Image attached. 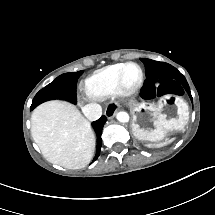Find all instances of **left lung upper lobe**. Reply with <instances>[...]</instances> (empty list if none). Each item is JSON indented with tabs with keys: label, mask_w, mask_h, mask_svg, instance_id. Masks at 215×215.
Segmentation results:
<instances>
[{
	"label": "left lung upper lobe",
	"mask_w": 215,
	"mask_h": 215,
	"mask_svg": "<svg viewBox=\"0 0 215 215\" xmlns=\"http://www.w3.org/2000/svg\"><path fill=\"white\" fill-rule=\"evenodd\" d=\"M141 61L144 63L146 67V78H147L145 81L146 83H150L153 80L160 77H166V78L177 80L182 84L183 88L189 94L192 100L188 83L185 77L176 68H174L173 66L167 63L153 61L150 59L142 58Z\"/></svg>",
	"instance_id": "obj_1"
}]
</instances>
